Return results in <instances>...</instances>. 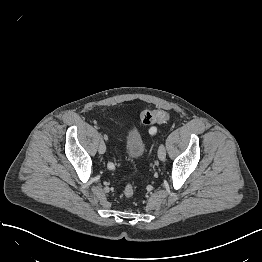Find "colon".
<instances>
[{"label": "colon", "mask_w": 262, "mask_h": 262, "mask_svg": "<svg viewBox=\"0 0 262 262\" xmlns=\"http://www.w3.org/2000/svg\"><path fill=\"white\" fill-rule=\"evenodd\" d=\"M168 117V113L163 109H146L140 113L141 121L146 125L163 122L168 119ZM135 192V187L132 184L126 185L124 189L125 197L132 198Z\"/></svg>", "instance_id": "obj_1"}]
</instances>
